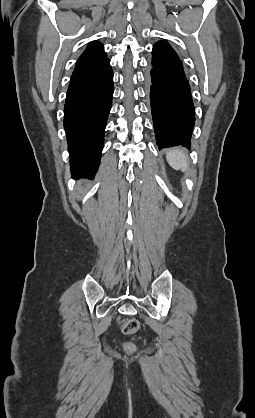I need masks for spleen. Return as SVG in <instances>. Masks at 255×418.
<instances>
[{"mask_svg":"<svg viewBox=\"0 0 255 418\" xmlns=\"http://www.w3.org/2000/svg\"><path fill=\"white\" fill-rule=\"evenodd\" d=\"M166 159L173 169L183 172L188 170V156L181 148L167 150Z\"/></svg>","mask_w":255,"mask_h":418,"instance_id":"obj_1","label":"spleen"}]
</instances>
